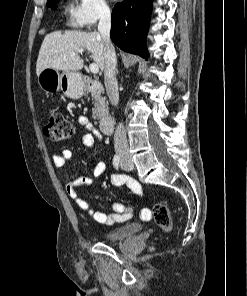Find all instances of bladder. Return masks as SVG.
<instances>
[{
  "label": "bladder",
  "instance_id": "31cf9c89",
  "mask_svg": "<svg viewBox=\"0 0 247 296\" xmlns=\"http://www.w3.org/2000/svg\"><path fill=\"white\" fill-rule=\"evenodd\" d=\"M141 229V223H129L124 226L118 227L114 230L106 232L103 237L104 240L107 242H121L136 235L141 231Z\"/></svg>",
  "mask_w": 247,
  "mask_h": 296
}]
</instances>
